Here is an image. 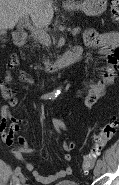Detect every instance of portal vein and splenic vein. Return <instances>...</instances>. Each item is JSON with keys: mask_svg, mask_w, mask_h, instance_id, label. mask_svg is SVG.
I'll return each instance as SVG.
<instances>
[{"mask_svg": "<svg viewBox=\"0 0 119 185\" xmlns=\"http://www.w3.org/2000/svg\"><path fill=\"white\" fill-rule=\"evenodd\" d=\"M23 19L25 21V26L28 27L29 29H31L32 33H34L41 40V42L44 45L48 46V45L51 44V40H50L49 35L46 32L42 31V30H39V29H36V28L32 27L29 23V18H28L27 15H24Z\"/></svg>", "mask_w": 119, "mask_h": 185, "instance_id": "18ae733b", "label": "portal vein and splenic vein"}]
</instances>
